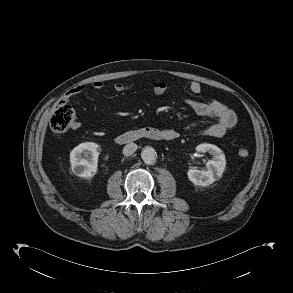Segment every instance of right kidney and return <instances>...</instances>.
I'll list each match as a JSON object with an SVG mask.
<instances>
[{
    "label": "right kidney",
    "instance_id": "1",
    "mask_svg": "<svg viewBox=\"0 0 293 293\" xmlns=\"http://www.w3.org/2000/svg\"><path fill=\"white\" fill-rule=\"evenodd\" d=\"M100 150V146L94 142H84L76 146L70 152L72 172L78 177L91 179L97 173Z\"/></svg>",
    "mask_w": 293,
    "mask_h": 293
}]
</instances>
